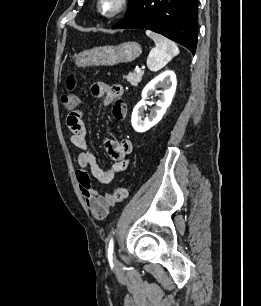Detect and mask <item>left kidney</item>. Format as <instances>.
<instances>
[{
  "label": "left kidney",
  "instance_id": "obj_1",
  "mask_svg": "<svg viewBox=\"0 0 261 306\" xmlns=\"http://www.w3.org/2000/svg\"><path fill=\"white\" fill-rule=\"evenodd\" d=\"M176 75L173 71H165L150 81L142 91V100L134 107L131 117L132 127L136 132H146L151 127L156 125L166 113L170 106L173 96L176 91ZM163 88L159 100L156 102V107L152 110L149 116L144 118L143 110L145 100L149 94L153 93L156 87Z\"/></svg>",
  "mask_w": 261,
  "mask_h": 306
}]
</instances>
